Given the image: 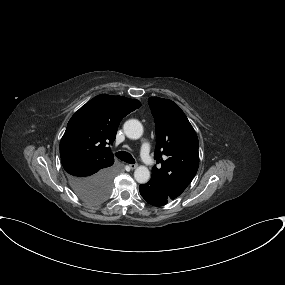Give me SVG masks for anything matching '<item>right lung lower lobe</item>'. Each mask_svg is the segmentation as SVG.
Wrapping results in <instances>:
<instances>
[{
    "label": "right lung lower lobe",
    "instance_id": "obj_1",
    "mask_svg": "<svg viewBox=\"0 0 285 285\" xmlns=\"http://www.w3.org/2000/svg\"><path fill=\"white\" fill-rule=\"evenodd\" d=\"M112 165L104 168L83 166L66 171V175L71 188L76 194L94 188H105L111 191L115 175V169Z\"/></svg>",
    "mask_w": 285,
    "mask_h": 285
}]
</instances>
